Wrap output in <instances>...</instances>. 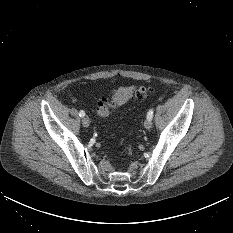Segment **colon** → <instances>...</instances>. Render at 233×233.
I'll list each match as a JSON object with an SVG mask.
<instances>
[{
  "mask_svg": "<svg viewBox=\"0 0 233 233\" xmlns=\"http://www.w3.org/2000/svg\"><path fill=\"white\" fill-rule=\"evenodd\" d=\"M149 90L145 86H123L116 90L111 98L102 97L97 103V114L101 118L108 117L113 111L124 105L132 98L142 99L146 97Z\"/></svg>",
  "mask_w": 233,
  "mask_h": 233,
  "instance_id": "5ec220e1",
  "label": "colon"
}]
</instances>
